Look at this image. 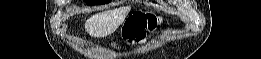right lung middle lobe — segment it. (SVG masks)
I'll use <instances>...</instances> for the list:
<instances>
[{
    "label": "right lung middle lobe",
    "mask_w": 261,
    "mask_h": 59,
    "mask_svg": "<svg viewBox=\"0 0 261 59\" xmlns=\"http://www.w3.org/2000/svg\"><path fill=\"white\" fill-rule=\"evenodd\" d=\"M109 1L107 0H85V3L88 5H99V4H106Z\"/></svg>",
    "instance_id": "right-lung-middle-lobe-1"
}]
</instances>
